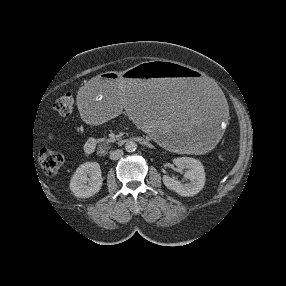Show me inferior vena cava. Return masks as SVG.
Wrapping results in <instances>:
<instances>
[{
	"label": "inferior vena cava",
	"instance_id": "602c4592",
	"mask_svg": "<svg viewBox=\"0 0 286 286\" xmlns=\"http://www.w3.org/2000/svg\"><path fill=\"white\" fill-rule=\"evenodd\" d=\"M123 155V150H114L110 152V159L111 160H118Z\"/></svg>",
	"mask_w": 286,
	"mask_h": 286
}]
</instances>
